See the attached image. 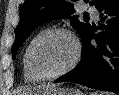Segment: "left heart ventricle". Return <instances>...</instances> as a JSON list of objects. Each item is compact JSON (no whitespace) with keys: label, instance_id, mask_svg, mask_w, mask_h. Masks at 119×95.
Returning a JSON list of instances; mask_svg holds the SVG:
<instances>
[{"label":"left heart ventricle","instance_id":"obj_1","mask_svg":"<svg viewBox=\"0 0 119 95\" xmlns=\"http://www.w3.org/2000/svg\"><path fill=\"white\" fill-rule=\"evenodd\" d=\"M75 45L72 39L63 34L53 35L38 46L35 61L38 68L53 74L65 68L73 59Z\"/></svg>","mask_w":119,"mask_h":95}]
</instances>
